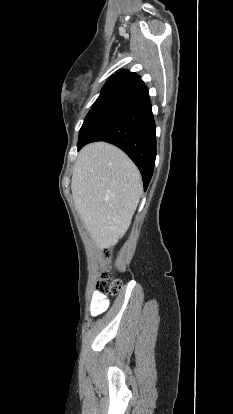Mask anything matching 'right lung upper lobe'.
Returning <instances> with one entry per match:
<instances>
[{
    "label": "right lung upper lobe",
    "mask_w": 233,
    "mask_h": 414,
    "mask_svg": "<svg viewBox=\"0 0 233 414\" xmlns=\"http://www.w3.org/2000/svg\"><path fill=\"white\" fill-rule=\"evenodd\" d=\"M115 77H120L126 80H131L133 82H136L140 77L138 75H136L135 73H131L127 70H120L117 71V73L115 75H113Z\"/></svg>",
    "instance_id": "cb5924a9"
}]
</instances>
